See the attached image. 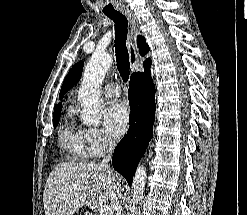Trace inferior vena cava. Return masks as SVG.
Listing matches in <instances>:
<instances>
[{"instance_id": "602c4592", "label": "inferior vena cava", "mask_w": 247, "mask_h": 215, "mask_svg": "<svg viewBox=\"0 0 247 215\" xmlns=\"http://www.w3.org/2000/svg\"><path fill=\"white\" fill-rule=\"evenodd\" d=\"M106 148H107V156L101 161L100 166L105 167V168H109L108 163L112 158V153H113V150L115 148V142L112 140H109V142L106 145ZM121 196H122L121 190L118 188V190L114 196V201H113L114 209L117 212L116 215H124L122 206L119 204V200H118L121 198Z\"/></svg>"}]
</instances>
